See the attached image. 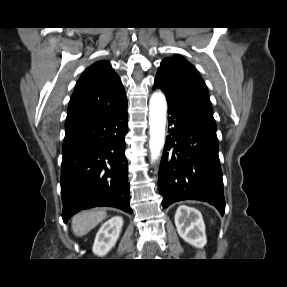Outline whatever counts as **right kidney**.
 I'll use <instances>...</instances> for the list:
<instances>
[{
  "label": "right kidney",
  "instance_id": "ca27d5eb",
  "mask_svg": "<svg viewBox=\"0 0 287 287\" xmlns=\"http://www.w3.org/2000/svg\"><path fill=\"white\" fill-rule=\"evenodd\" d=\"M123 226V219L115 216L106 221L96 234L93 244V253L98 256L106 255L114 246L119 238Z\"/></svg>",
  "mask_w": 287,
  "mask_h": 287
}]
</instances>
